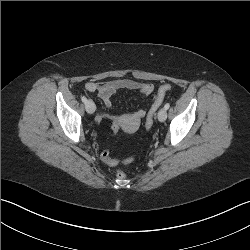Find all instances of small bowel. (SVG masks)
Here are the masks:
<instances>
[{"mask_svg":"<svg viewBox=\"0 0 250 250\" xmlns=\"http://www.w3.org/2000/svg\"><path fill=\"white\" fill-rule=\"evenodd\" d=\"M85 89L89 92H94L103 101L104 105L108 108L111 106V99L113 95L120 90H131L137 91L144 96L153 95L155 88L152 84L143 83L132 79H116L105 82H93L88 81L84 85ZM145 110L138 109L131 114L112 116V115H100L98 121L101 120L102 116H106L113 119H119V125L121 126L124 122H138L145 116Z\"/></svg>","mask_w":250,"mask_h":250,"instance_id":"1","label":"small bowel"}]
</instances>
